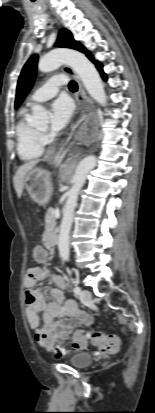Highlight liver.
Wrapping results in <instances>:
<instances>
[{"instance_id":"6515ba94","label":"liver","mask_w":155,"mask_h":413,"mask_svg":"<svg viewBox=\"0 0 155 413\" xmlns=\"http://www.w3.org/2000/svg\"><path fill=\"white\" fill-rule=\"evenodd\" d=\"M39 162V160H32L29 161L22 166H20L14 176L13 182H14V188L17 193L18 198L21 197L23 188H24V180L26 175L29 173L30 170H32L35 165Z\"/></svg>"}]
</instances>
